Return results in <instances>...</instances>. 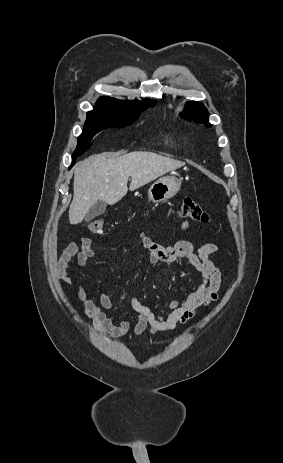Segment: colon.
Wrapping results in <instances>:
<instances>
[{
    "label": "colon",
    "instance_id": "1",
    "mask_svg": "<svg viewBox=\"0 0 283 463\" xmlns=\"http://www.w3.org/2000/svg\"><path fill=\"white\" fill-rule=\"evenodd\" d=\"M178 214L181 218L190 219L199 223H206L209 220L207 212L200 204L191 198H185L181 201ZM104 225L105 221L103 218H93L87 222L89 231L96 234L102 233Z\"/></svg>",
    "mask_w": 283,
    "mask_h": 463
}]
</instances>
